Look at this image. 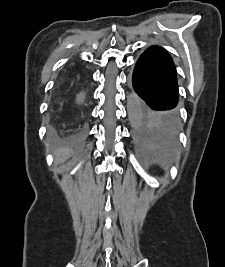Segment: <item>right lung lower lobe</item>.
I'll return each instance as SVG.
<instances>
[{
    "instance_id": "98d812e1",
    "label": "right lung lower lobe",
    "mask_w": 225,
    "mask_h": 267,
    "mask_svg": "<svg viewBox=\"0 0 225 267\" xmlns=\"http://www.w3.org/2000/svg\"><path fill=\"white\" fill-rule=\"evenodd\" d=\"M86 78V73L83 68L76 66L70 69L60 83L61 88L68 87L70 89L78 86Z\"/></svg>"
}]
</instances>
